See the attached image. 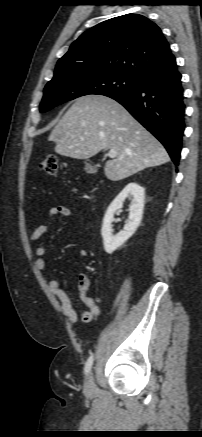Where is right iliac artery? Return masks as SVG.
Instances as JSON below:
<instances>
[{
	"mask_svg": "<svg viewBox=\"0 0 202 437\" xmlns=\"http://www.w3.org/2000/svg\"><path fill=\"white\" fill-rule=\"evenodd\" d=\"M92 364H93V355H91V356L88 358V360H87V362H86V364H85V368H84V370H85V373H86V374L90 371V369H91V367H92Z\"/></svg>",
	"mask_w": 202,
	"mask_h": 437,
	"instance_id": "right-iliac-artery-1",
	"label": "right iliac artery"
}]
</instances>
